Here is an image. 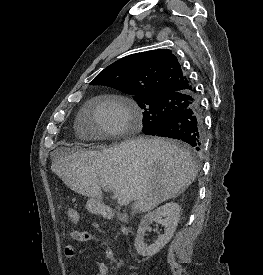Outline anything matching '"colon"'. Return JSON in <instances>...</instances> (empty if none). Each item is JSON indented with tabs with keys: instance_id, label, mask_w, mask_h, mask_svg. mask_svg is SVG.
Here are the masks:
<instances>
[{
	"instance_id": "obj_1",
	"label": "colon",
	"mask_w": 263,
	"mask_h": 275,
	"mask_svg": "<svg viewBox=\"0 0 263 275\" xmlns=\"http://www.w3.org/2000/svg\"><path fill=\"white\" fill-rule=\"evenodd\" d=\"M66 217L72 223H76L79 221V213L76 209L68 207L65 211Z\"/></svg>"
}]
</instances>
